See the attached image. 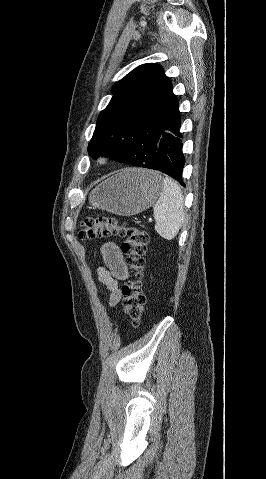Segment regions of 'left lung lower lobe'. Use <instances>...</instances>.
<instances>
[{
	"mask_svg": "<svg viewBox=\"0 0 266 479\" xmlns=\"http://www.w3.org/2000/svg\"><path fill=\"white\" fill-rule=\"evenodd\" d=\"M180 112L178 100L175 99L169 110L159 140L156 145L155 157L150 162H145L141 167L161 171L184 186L182 172L185 157L182 152V135L180 133Z\"/></svg>",
	"mask_w": 266,
	"mask_h": 479,
	"instance_id": "obj_1",
	"label": "left lung lower lobe"
}]
</instances>
